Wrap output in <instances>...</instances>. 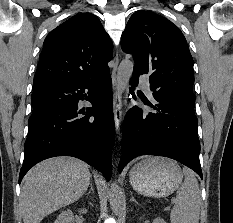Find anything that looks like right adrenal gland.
Wrapping results in <instances>:
<instances>
[{
    "label": "right adrenal gland",
    "mask_w": 233,
    "mask_h": 223,
    "mask_svg": "<svg viewBox=\"0 0 233 223\" xmlns=\"http://www.w3.org/2000/svg\"><path fill=\"white\" fill-rule=\"evenodd\" d=\"M91 191H92V193H94V189H93V185H92V177L90 179V189H89L88 193H91ZM88 193H86V195H88Z\"/></svg>",
    "instance_id": "right-adrenal-gland-1"
}]
</instances>
